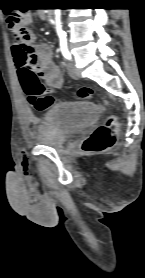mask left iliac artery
<instances>
[{"label":"left iliac artery","instance_id":"left-iliac-artery-1","mask_svg":"<svg viewBox=\"0 0 145 278\" xmlns=\"http://www.w3.org/2000/svg\"><path fill=\"white\" fill-rule=\"evenodd\" d=\"M60 48H61V52H62L63 56L66 59L71 60V54L67 48V40L64 36L60 38Z\"/></svg>","mask_w":145,"mask_h":278}]
</instances>
